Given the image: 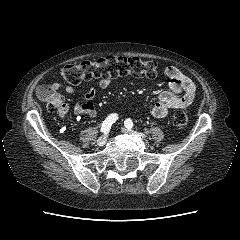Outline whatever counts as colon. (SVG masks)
<instances>
[{
  "label": "colon",
  "mask_w": 240,
  "mask_h": 240,
  "mask_svg": "<svg viewBox=\"0 0 240 240\" xmlns=\"http://www.w3.org/2000/svg\"><path fill=\"white\" fill-rule=\"evenodd\" d=\"M158 65L152 60H142L137 57L107 56L94 61H83L64 67L62 76L70 85H78L83 81L98 78H116L136 76L155 78L158 76ZM39 97L46 103L50 111H58L62 100L57 90L52 85H42L38 89ZM173 123L179 128L186 127L189 116L179 111L173 116Z\"/></svg>",
  "instance_id": "1"
}]
</instances>
